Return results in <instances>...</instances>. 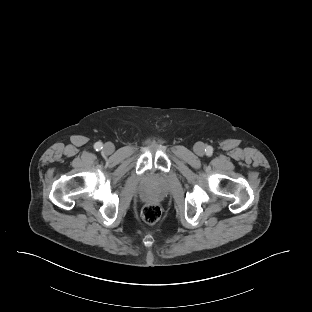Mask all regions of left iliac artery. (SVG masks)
Returning a JSON list of instances; mask_svg holds the SVG:
<instances>
[{
	"label": "left iliac artery",
	"instance_id": "left-iliac-artery-1",
	"mask_svg": "<svg viewBox=\"0 0 312 312\" xmlns=\"http://www.w3.org/2000/svg\"><path fill=\"white\" fill-rule=\"evenodd\" d=\"M205 152L207 155H211L213 153V148L211 146H207Z\"/></svg>",
	"mask_w": 312,
	"mask_h": 312
}]
</instances>
